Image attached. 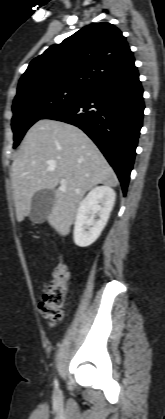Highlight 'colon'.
Returning <instances> with one entry per match:
<instances>
[{"instance_id": "5ec220e1", "label": "colon", "mask_w": 165, "mask_h": 419, "mask_svg": "<svg viewBox=\"0 0 165 419\" xmlns=\"http://www.w3.org/2000/svg\"><path fill=\"white\" fill-rule=\"evenodd\" d=\"M69 271L59 262L54 269L53 278L39 303L40 314L55 325L63 318V308L68 291Z\"/></svg>"}]
</instances>
